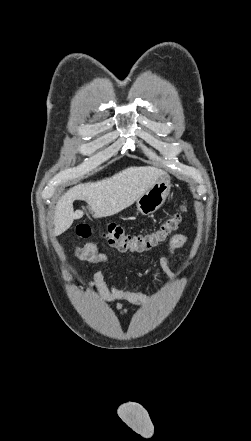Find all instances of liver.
I'll list each match as a JSON object with an SVG mask.
<instances>
[{
    "mask_svg": "<svg viewBox=\"0 0 251 441\" xmlns=\"http://www.w3.org/2000/svg\"><path fill=\"white\" fill-rule=\"evenodd\" d=\"M165 172L155 167H128L112 177L97 182L78 184L58 200L54 216V233L68 230L83 212H74L75 200L86 201L96 219L112 216L132 205L149 190Z\"/></svg>",
    "mask_w": 251,
    "mask_h": 441,
    "instance_id": "liver-1",
    "label": "liver"
}]
</instances>
